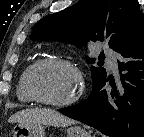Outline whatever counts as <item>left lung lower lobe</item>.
I'll return each mask as SVG.
<instances>
[{"instance_id":"1","label":"left lung lower lobe","mask_w":144,"mask_h":137,"mask_svg":"<svg viewBox=\"0 0 144 137\" xmlns=\"http://www.w3.org/2000/svg\"><path fill=\"white\" fill-rule=\"evenodd\" d=\"M118 53L121 82L105 77L85 101L59 112L111 137H144V23ZM107 81L111 91L103 89Z\"/></svg>"}]
</instances>
